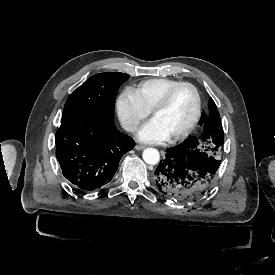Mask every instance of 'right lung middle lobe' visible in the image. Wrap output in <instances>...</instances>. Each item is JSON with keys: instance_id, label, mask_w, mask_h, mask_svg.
I'll list each match as a JSON object with an SVG mask.
<instances>
[{"instance_id": "1", "label": "right lung middle lobe", "mask_w": 275, "mask_h": 275, "mask_svg": "<svg viewBox=\"0 0 275 275\" xmlns=\"http://www.w3.org/2000/svg\"><path fill=\"white\" fill-rule=\"evenodd\" d=\"M128 78V74L115 72L91 76L70 95L63 109V117L82 116L103 125L114 124L115 96Z\"/></svg>"}]
</instances>
